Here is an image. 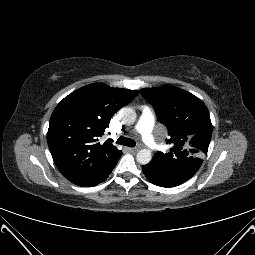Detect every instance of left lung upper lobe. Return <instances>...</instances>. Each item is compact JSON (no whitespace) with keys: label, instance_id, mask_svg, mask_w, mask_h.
Wrapping results in <instances>:
<instances>
[{"label":"left lung upper lobe","instance_id":"left-lung-upper-lobe-1","mask_svg":"<svg viewBox=\"0 0 255 255\" xmlns=\"http://www.w3.org/2000/svg\"><path fill=\"white\" fill-rule=\"evenodd\" d=\"M154 107L159 121L168 129V153L158 151L150 163L151 171L176 183L190 179L200 168L208 151L212 124L205 104L180 88L163 85L140 90Z\"/></svg>","mask_w":255,"mask_h":255}]
</instances>
